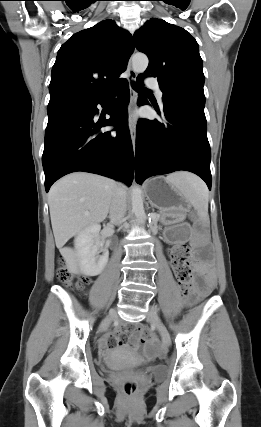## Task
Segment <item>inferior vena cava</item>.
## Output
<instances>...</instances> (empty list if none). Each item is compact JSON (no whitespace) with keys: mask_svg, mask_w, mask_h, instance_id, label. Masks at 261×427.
Returning <instances> with one entry per match:
<instances>
[{"mask_svg":"<svg viewBox=\"0 0 261 427\" xmlns=\"http://www.w3.org/2000/svg\"><path fill=\"white\" fill-rule=\"evenodd\" d=\"M126 191L118 185L113 194L109 218L111 223L120 224L126 213Z\"/></svg>","mask_w":261,"mask_h":427,"instance_id":"602c4592","label":"inferior vena cava"}]
</instances>
